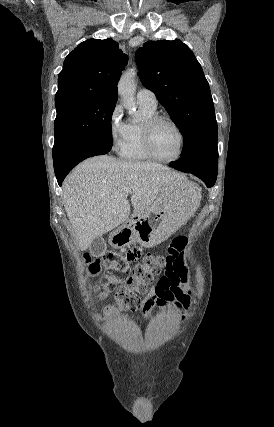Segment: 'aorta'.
I'll list each match as a JSON object with an SVG mask.
<instances>
[{
	"label": "aorta",
	"mask_w": 274,
	"mask_h": 427,
	"mask_svg": "<svg viewBox=\"0 0 274 427\" xmlns=\"http://www.w3.org/2000/svg\"><path fill=\"white\" fill-rule=\"evenodd\" d=\"M135 71L125 72L118 82V94L121 96L123 106L131 115L136 114L134 96L136 91Z\"/></svg>",
	"instance_id": "aorta-1"
}]
</instances>
